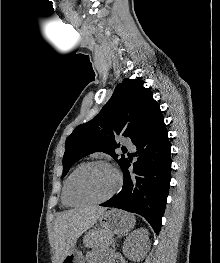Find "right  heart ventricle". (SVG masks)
Wrapping results in <instances>:
<instances>
[{"label": "right heart ventricle", "mask_w": 220, "mask_h": 263, "mask_svg": "<svg viewBox=\"0 0 220 263\" xmlns=\"http://www.w3.org/2000/svg\"><path fill=\"white\" fill-rule=\"evenodd\" d=\"M78 166H80V165H78ZM77 168V167H76ZM71 175V174H70ZM69 175V176H70ZM69 176L67 177V179L65 180V182H64V186H63V189H62V203H63V205L64 206H67V207H69V206H72L68 201H67V199H66V185H67V181H68V178H69Z\"/></svg>", "instance_id": "obj_1"}]
</instances>
